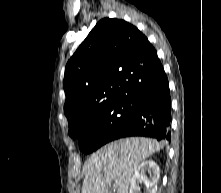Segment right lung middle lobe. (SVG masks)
Returning <instances> with one entry per match:
<instances>
[{"label": "right lung middle lobe", "instance_id": "right-lung-middle-lobe-1", "mask_svg": "<svg viewBox=\"0 0 221 193\" xmlns=\"http://www.w3.org/2000/svg\"><path fill=\"white\" fill-rule=\"evenodd\" d=\"M136 110L135 99H123L110 103L105 108L79 119L69 130L72 138L79 139L84 153H91L111 141L130 121Z\"/></svg>", "mask_w": 221, "mask_h": 193}]
</instances>
